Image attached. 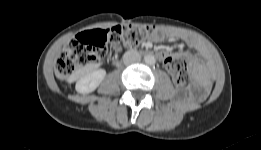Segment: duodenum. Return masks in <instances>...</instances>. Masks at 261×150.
<instances>
[{
    "label": "duodenum",
    "mask_w": 261,
    "mask_h": 150,
    "mask_svg": "<svg viewBox=\"0 0 261 150\" xmlns=\"http://www.w3.org/2000/svg\"><path fill=\"white\" fill-rule=\"evenodd\" d=\"M144 53H147V52H144ZM155 55L158 57V53H156Z\"/></svg>",
    "instance_id": "410a0bca"
}]
</instances>
